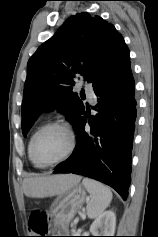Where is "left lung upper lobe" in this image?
Instances as JSON below:
<instances>
[{
    "label": "left lung upper lobe",
    "mask_w": 158,
    "mask_h": 237,
    "mask_svg": "<svg viewBox=\"0 0 158 237\" xmlns=\"http://www.w3.org/2000/svg\"><path fill=\"white\" fill-rule=\"evenodd\" d=\"M129 59V49L112 24L85 12L68 18L28 61L23 135L45 109L64 113L76 129L84 105L72 91L75 75H81L95 89Z\"/></svg>",
    "instance_id": "1"
}]
</instances>
